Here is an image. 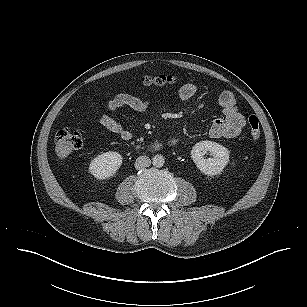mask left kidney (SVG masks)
Masks as SVG:
<instances>
[{
  "instance_id": "obj_1",
  "label": "left kidney",
  "mask_w": 307,
  "mask_h": 307,
  "mask_svg": "<svg viewBox=\"0 0 307 307\" xmlns=\"http://www.w3.org/2000/svg\"><path fill=\"white\" fill-rule=\"evenodd\" d=\"M207 151L211 153L213 158H204V154ZM191 157L202 173L208 176H215L219 175L229 162V151L216 142L201 141L192 147Z\"/></svg>"
}]
</instances>
